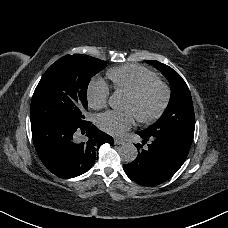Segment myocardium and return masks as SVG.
<instances>
[{"mask_svg": "<svg viewBox=\"0 0 228 228\" xmlns=\"http://www.w3.org/2000/svg\"><path fill=\"white\" fill-rule=\"evenodd\" d=\"M155 86H158L161 89L160 102H159L156 110L150 116H148L146 118L138 117V121L141 123H152L161 116V114L163 113V111L167 105V102H168L169 89L165 83L155 80V81L145 84L144 86L139 88L136 92L129 95V98L131 100L139 101L149 89H151L152 87H155Z\"/></svg>", "mask_w": 228, "mask_h": 228, "instance_id": "1", "label": "myocardium"}]
</instances>
